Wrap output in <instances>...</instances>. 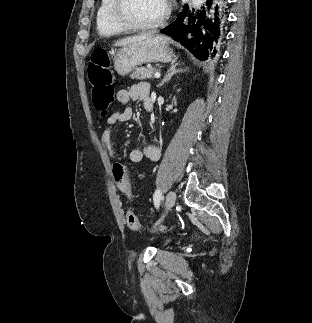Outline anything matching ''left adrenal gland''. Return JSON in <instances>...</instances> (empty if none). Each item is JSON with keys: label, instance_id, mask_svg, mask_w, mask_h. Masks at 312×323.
Masks as SVG:
<instances>
[{"label": "left adrenal gland", "instance_id": "1", "mask_svg": "<svg viewBox=\"0 0 312 323\" xmlns=\"http://www.w3.org/2000/svg\"><path fill=\"white\" fill-rule=\"evenodd\" d=\"M177 66H180V64H178V62H176V64H172L170 70H168L165 78H163L162 82H160V84H158L157 88H161V86H164L165 82H169V80H171L173 74H178V72H183V70H176Z\"/></svg>", "mask_w": 312, "mask_h": 323}]
</instances>
